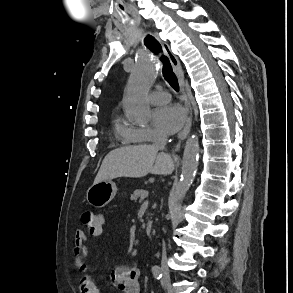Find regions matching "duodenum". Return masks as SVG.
<instances>
[{
	"label": "duodenum",
	"mask_w": 293,
	"mask_h": 293,
	"mask_svg": "<svg viewBox=\"0 0 293 293\" xmlns=\"http://www.w3.org/2000/svg\"><path fill=\"white\" fill-rule=\"evenodd\" d=\"M152 231H153V226H152L151 223H148V224L146 225V233H147L148 235H151V234H152Z\"/></svg>",
	"instance_id": "duodenum-1"
}]
</instances>
